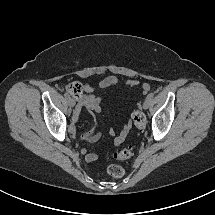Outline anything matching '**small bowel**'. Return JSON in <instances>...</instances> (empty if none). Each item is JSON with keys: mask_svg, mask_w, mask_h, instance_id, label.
I'll return each mask as SVG.
<instances>
[{"mask_svg": "<svg viewBox=\"0 0 215 215\" xmlns=\"http://www.w3.org/2000/svg\"><path fill=\"white\" fill-rule=\"evenodd\" d=\"M118 83V79L115 76H107L103 78L99 84L98 87L101 89H106L115 86ZM139 85V81L137 79H129L125 82V86L133 88ZM150 89V86L148 83H144L142 85V91L145 93ZM94 87L89 84L82 85V92L77 97L78 105L76 110L74 111L73 117H72V124H71V132L75 133V125L74 123L79 118L80 110H84L91 114L95 119V126L94 128L89 131L82 133L79 135L80 139H82L85 142L88 143H95L97 142L101 137V132L98 130V123H97V117L101 112L102 109V99L101 97L95 95L94 93ZM131 129V123H126L123 128L120 130L119 133H115L113 130L109 131V135L113 136V143L114 145L121 144L124 139L126 138L127 134L129 133ZM82 153L85 154V159L88 162L96 161L98 156L95 153H86V150L83 149Z\"/></svg>", "mask_w": 215, "mask_h": 215, "instance_id": "obj_1", "label": "small bowel"}]
</instances>
